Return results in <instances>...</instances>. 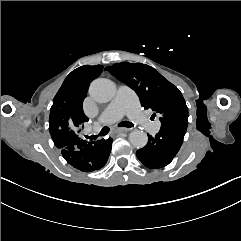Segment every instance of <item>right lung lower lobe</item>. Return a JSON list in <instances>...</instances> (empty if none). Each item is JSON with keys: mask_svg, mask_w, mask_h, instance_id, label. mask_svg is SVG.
<instances>
[{"mask_svg": "<svg viewBox=\"0 0 241 241\" xmlns=\"http://www.w3.org/2000/svg\"><path fill=\"white\" fill-rule=\"evenodd\" d=\"M112 138L97 141L77 140L60 149L64 159L74 168L92 172L102 168L110 155Z\"/></svg>", "mask_w": 241, "mask_h": 241, "instance_id": "98d812e1", "label": "right lung lower lobe"}]
</instances>
